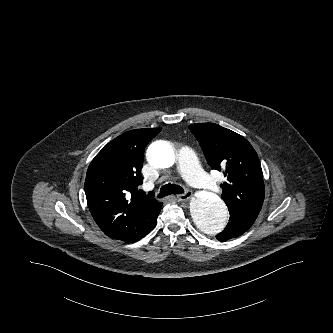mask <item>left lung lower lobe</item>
I'll list each match as a JSON object with an SVG mask.
<instances>
[{"label": "left lung lower lobe", "mask_w": 333, "mask_h": 333, "mask_svg": "<svg viewBox=\"0 0 333 333\" xmlns=\"http://www.w3.org/2000/svg\"><path fill=\"white\" fill-rule=\"evenodd\" d=\"M255 220L254 218L243 216L238 212H230L229 223L224 231L216 235V238L221 242H225L231 238L238 237L247 231Z\"/></svg>", "instance_id": "left-lung-lower-lobe-1"}]
</instances>
